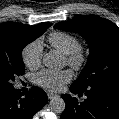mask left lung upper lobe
Segmentation results:
<instances>
[{
    "mask_svg": "<svg viewBox=\"0 0 119 119\" xmlns=\"http://www.w3.org/2000/svg\"><path fill=\"white\" fill-rule=\"evenodd\" d=\"M54 28L79 33L88 42L90 54L85 68L73 83L90 87L119 88V28L98 16H79L59 22Z\"/></svg>",
    "mask_w": 119,
    "mask_h": 119,
    "instance_id": "left-lung-upper-lobe-1",
    "label": "left lung upper lobe"
}]
</instances>
